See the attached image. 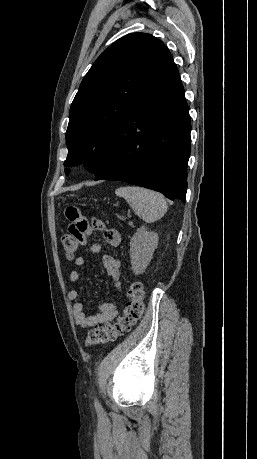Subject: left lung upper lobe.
Wrapping results in <instances>:
<instances>
[{"mask_svg": "<svg viewBox=\"0 0 257 459\" xmlns=\"http://www.w3.org/2000/svg\"><path fill=\"white\" fill-rule=\"evenodd\" d=\"M170 55L162 41L146 33H130L102 52L70 107L66 166L81 164L95 149L98 157L85 164L98 175L112 154L120 124Z\"/></svg>", "mask_w": 257, "mask_h": 459, "instance_id": "obj_1", "label": "left lung upper lobe"}]
</instances>
